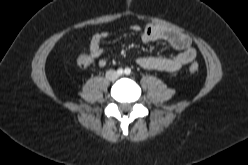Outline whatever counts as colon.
I'll use <instances>...</instances> for the list:
<instances>
[{
	"instance_id": "5ec220e1",
	"label": "colon",
	"mask_w": 248,
	"mask_h": 165,
	"mask_svg": "<svg viewBox=\"0 0 248 165\" xmlns=\"http://www.w3.org/2000/svg\"><path fill=\"white\" fill-rule=\"evenodd\" d=\"M92 58L87 54H81L77 57V65L81 68H86L91 65ZM199 70V66L196 63H192L189 66V71L191 73H196Z\"/></svg>"
}]
</instances>
